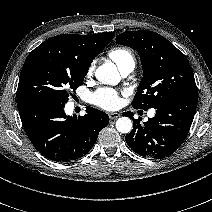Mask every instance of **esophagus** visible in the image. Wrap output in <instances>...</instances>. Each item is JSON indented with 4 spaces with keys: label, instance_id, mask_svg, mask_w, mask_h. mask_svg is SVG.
<instances>
[{
    "label": "esophagus",
    "instance_id": "esophagus-1",
    "mask_svg": "<svg viewBox=\"0 0 212 212\" xmlns=\"http://www.w3.org/2000/svg\"><path fill=\"white\" fill-rule=\"evenodd\" d=\"M119 116H120V114L119 113H116V112H113V113H110L109 114V118L111 120H116Z\"/></svg>",
    "mask_w": 212,
    "mask_h": 212
}]
</instances>
